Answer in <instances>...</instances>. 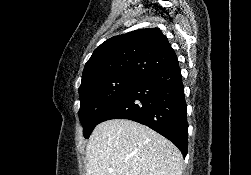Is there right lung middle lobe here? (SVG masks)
I'll return each instance as SVG.
<instances>
[{
	"label": "right lung middle lobe",
	"mask_w": 251,
	"mask_h": 175,
	"mask_svg": "<svg viewBox=\"0 0 251 175\" xmlns=\"http://www.w3.org/2000/svg\"><path fill=\"white\" fill-rule=\"evenodd\" d=\"M140 80L131 76H119L79 88V119L86 139L100 123L103 113Z\"/></svg>",
	"instance_id": "right-lung-middle-lobe-1"
}]
</instances>
